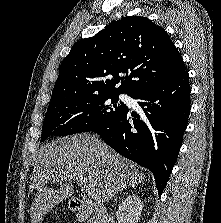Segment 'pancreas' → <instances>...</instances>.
<instances>
[{"instance_id": "pancreas-1", "label": "pancreas", "mask_w": 221, "mask_h": 223, "mask_svg": "<svg viewBox=\"0 0 221 223\" xmlns=\"http://www.w3.org/2000/svg\"><path fill=\"white\" fill-rule=\"evenodd\" d=\"M89 223H95V222H94V220H93V219H91Z\"/></svg>"}]
</instances>
